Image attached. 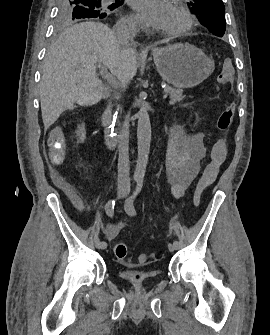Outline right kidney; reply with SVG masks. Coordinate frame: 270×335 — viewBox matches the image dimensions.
<instances>
[{"instance_id": "1", "label": "right kidney", "mask_w": 270, "mask_h": 335, "mask_svg": "<svg viewBox=\"0 0 270 335\" xmlns=\"http://www.w3.org/2000/svg\"><path fill=\"white\" fill-rule=\"evenodd\" d=\"M76 134L78 136L77 144H83L84 140H86L85 124H81V126H78Z\"/></svg>"}]
</instances>
